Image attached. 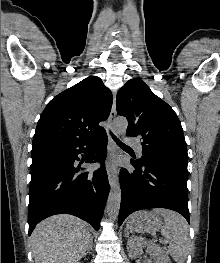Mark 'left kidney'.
Here are the masks:
<instances>
[{
  "label": "left kidney",
  "mask_w": 220,
  "mask_h": 263,
  "mask_svg": "<svg viewBox=\"0 0 220 263\" xmlns=\"http://www.w3.org/2000/svg\"><path fill=\"white\" fill-rule=\"evenodd\" d=\"M143 246H147L149 254L154 258L155 263H171L162 248L154 242H148L142 237L132 236L127 243L128 255L131 258H138L142 253Z\"/></svg>",
  "instance_id": "1"
}]
</instances>
